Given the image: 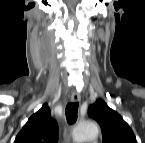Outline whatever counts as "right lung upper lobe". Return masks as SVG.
Returning a JSON list of instances; mask_svg holds the SVG:
<instances>
[{"label":"right lung upper lobe","instance_id":"obj_1","mask_svg":"<svg viewBox=\"0 0 145 143\" xmlns=\"http://www.w3.org/2000/svg\"><path fill=\"white\" fill-rule=\"evenodd\" d=\"M58 125L47 104L33 114L18 133L15 143H56Z\"/></svg>","mask_w":145,"mask_h":143}]
</instances>
